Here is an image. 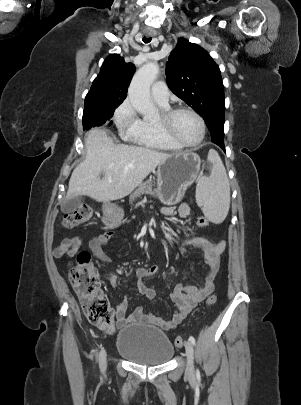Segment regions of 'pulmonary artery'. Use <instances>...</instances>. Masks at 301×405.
<instances>
[{
    "mask_svg": "<svg viewBox=\"0 0 301 405\" xmlns=\"http://www.w3.org/2000/svg\"><path fill=\"white\" fill-rule=\"evenodd\" d=\"M151 97L156 103L162 106H167L169 91L166 84L162 81L153 84L151 88Z\"/></svg>",
    "mask_w": 301,
    "mask_h": 405,
    "instance_id": "obj_1",
    "label": "pulmonary artery"
}]
</instances>
